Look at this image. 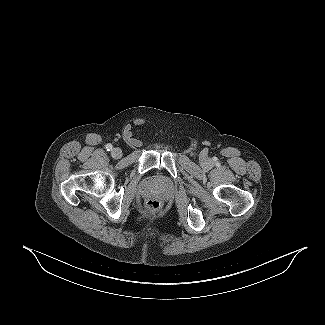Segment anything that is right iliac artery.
<instances>
[{"instance_id":"1","label":"right iliac artery","mask_w":325,"mask_h":325,"mask_svg":"<svg viewBox=\"0 0 325 325\" xmlns=\"http://www.w3.org/2000/svg\"><path fill=\"white\" fill-rule=\"evenodd\" d=\"M112 148H113V146H112L111 144H107V145H106V150H107V151H111Z\"/></svg>"}]
</instances>
